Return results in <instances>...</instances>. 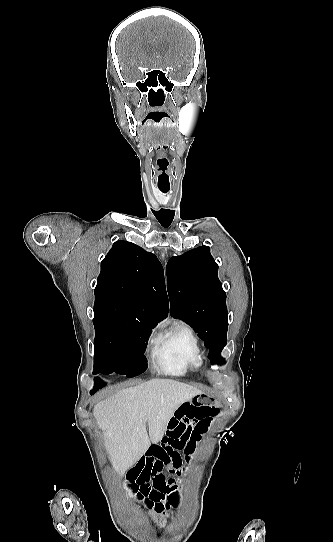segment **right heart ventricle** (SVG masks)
<instances>
[{
    "instance_id": "e07e8e85",
    "label": "right heart ventricle",
    "mask_w": 333,
    "mask_h": 542,
    "mask_svg": "<svg viewBox=\"0 0 333 542\" xmlns=\"http://www.w3.org/2000/svg\"><path fill=\"white\" fill-rule=\"evenodd\" d=\"M153 358L167 373L185 375L201 369L203 356L193 331L180 325L165 333L152 351Z\"/></svg>"
}]
</instances>
